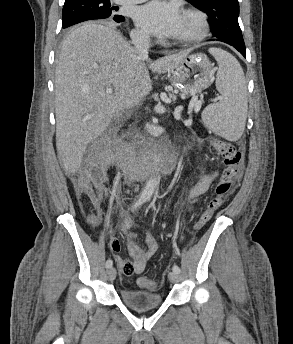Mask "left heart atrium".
Here are the masks:
<instances>
[{
    "label": "left heart atrium",
    "instance_id": "39dd6f15",
    "mask_svg": "<svg viewBox=\"0 0 293 344\" xmlns=\"http://www.w3.org/2000/svg\"><path fill=\"white\" fill-rule=\"evenodd\" d=\"M136 25L158 38H172L180 31L183 15L172 2L155 0L137 9Z\"/></svg>",
    "mask_w": 293,
    "mask_h": 344
}]
</instances>
